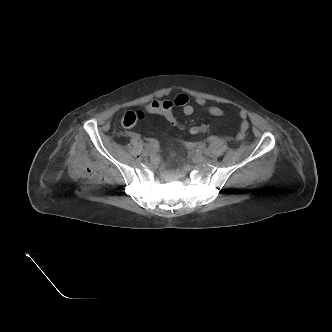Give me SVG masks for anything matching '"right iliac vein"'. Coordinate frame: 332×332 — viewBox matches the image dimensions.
<instances>
[{
  "label": "right iliac vein",
  "instance_id": "63e3f726",
  "mask_svg": "<svg viewBox=\"0 0 332 332\" xmlns=\"http://www.w3.org/2000/svg\"><path fill=\"white\" fill-rule=\"evenodd\" d=\"M154 154V150H147L143 152V155L147 156V155H153Z\"/></svg>",
  "mask_w": 332,
  "mask_h": 332
}]
</instances>
